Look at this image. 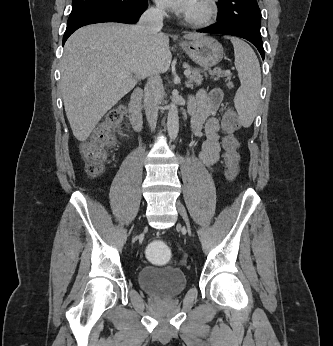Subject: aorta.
I'll list each match as a JSON object with an SVG mask.
<instances>
[{
    "label": "aorta",
    "instance_id": "aorta-1",
    "mask_svg": "<svg viewBox=\"0 0 333 346\" xmlns=\"http://www.w3.org/2000/svg\"><path fill=\"white\" fill-rule=\"evenodd\" d=\"M167 130L171 140H175L179 131L178 107L175 103H171L168 107Z\"/></svg>",
    "mask_w": 333,
    "mask_h": 346
}]
</instances>
